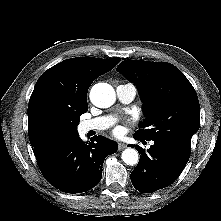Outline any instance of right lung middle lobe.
<instances>
[{"mask_svg": "<svg viewBox=\"0 0 221 221\" xmlns=\"http://www.w3.org/2000/svg\"><path fill=\"white\" fill-rule=\"evenodd\" d=\"M83 113H64L54 115L51 123L54 129L63 137L70 138L77 135L76 126Z\"/></svg>", "mask_w": 221, "mask_h": 221, "instance_id": "dd1d6c3e", "label": "right lung middle lobe"}]
</instances>
